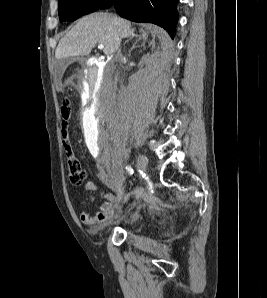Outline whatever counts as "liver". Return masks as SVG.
I'll return each instance as SVG.
<instances>
[{
  "mask_svg": "<svg viewBox=\"0 0 267 298\" xmlns=\"http://www.w3.org/2000/svg\"><path fill=\"white\" fill-rule=\"evenodd\" d=\"M131 23L107 12L82 17L60 40L55 57L58 60L89 55L96 44L104 45L107 56L119 50L121 39L131 36Z\"/></svg>",
  "mask_w": 267,
  "mask_h": 298,
  "instance_id": "liver-1",
  "label": "liver"
}]
</instances>
